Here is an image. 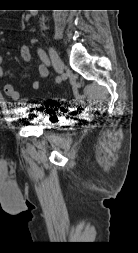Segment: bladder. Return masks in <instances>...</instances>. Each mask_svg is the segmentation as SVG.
Masks as SVG:
<instances>
[{"instance_id":"1","label":"bladder","mask_w":138,"mask_h":253,"mask_svg":"<svg viewBox=\"0 0 138 253\" xmlns=\"http://www.w3.org/2000/svg\"><path fill=\"white\" fill-rule=\"evenodd\" d=\"M26 114L30 117V121L34 124H36L37 126L41 127V128H52V124L49 122H44V113L43 112H33V111H28L26 112Z\"/></svg>"}]
</instances>
